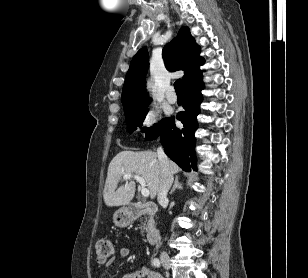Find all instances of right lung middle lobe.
I'll use <instances>...</instances> for the list:
<instances>
[{
  "mask_svg": "<svg viewBox=\"0 0 308 278\" xmlns=\"http://www.w3.org/2000/svg\"><path fill=\"white\" fill-rule=\"evenodd\" d=\"M147 112V105L126 110V123L128 125L129 133H132L137 127H140L142 132L146 134L145 138L147 140H153L160 135L169 119L162 120L161 123L155 124L153 127L147 129L146 127H142V122Z\"/></svg>",
  "mask_w": 308,
  "mask_h": 278,
  "instance_id": "obj_1",
  "label": "right lung middle lobe"
}]
</instances>
